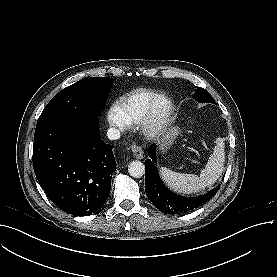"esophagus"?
<instances>
[{"label":"esophagus","instance_id":"34e87169","mask_svg":"<svg viewBox=\"0 0 277 277\" xmlns=\"http://www.w3.org/2000/svg\"><path fill=\"white\" fill-rule=\"evenodd\" d=\"M131 149H132V152H133L134 156L137 159H142L143 154H144V151H143L142 147H140L138 145H132Z\"/></svg>","mask_w":277,"mask_h":277}]
</instances>
